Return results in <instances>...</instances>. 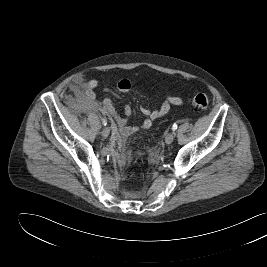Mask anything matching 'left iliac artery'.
Instances as JSON below:
<instances>
[{
  "label": "left iliac artery",
  "instance_id": "obj_1",
  "mask_svg": "<svg viewBox=\"0 0 267 267\" xmlns=\"http://www.w3.org/2000/svg\"><path fill=\"white\" fill-rule=\"evenodd\" d=\"M177 129V124L174 123L173 126H172V130L175 131Z\"/></svg>",
  "mask_w": 267,
  "mask_h": 267
}]
</instances>
